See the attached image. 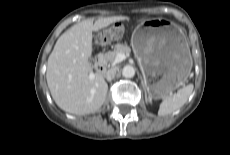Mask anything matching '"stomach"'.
Returning a JSON list of instances; mask_svg holds the SVG:
<instances>
[{"instance_id":"0dacf381","label":"stomach","mask_w":230,"mask_h":155,"mask_svg":"<svg viewBox=\"0 0 230 155\" xmlns=\"http://www.w3.org/2000/svg\"><path fill=\"white\" fill-rule=\"evenodd\" d=\"M131 46L150 99H164L186 82L192 57L176 25L161 18L143 20L132 33Z\"/></svg>"}]
</instances>
